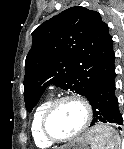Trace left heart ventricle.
Masks as SVG:
<instances>
[{
    "label": "left heart ventricle",
    "instance_id": "obj_1",
    "mask_svg": "<svg viewBox=\"0 0 124 149\" xmlns=\"http://www.w3.org/2000/svg\"><path fill=\"white\" fill-rule=\"evenodd\" d=\"M85 111L82 105L74 101L64 102L52 113L48 127L58 138H65L76 133L83 125Z\"/></svg>",
    "mask_w": 124,
    "mask_h": 149
}]
</instances>
